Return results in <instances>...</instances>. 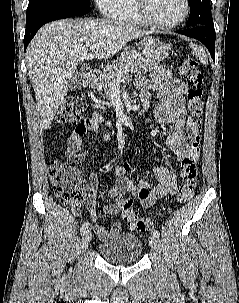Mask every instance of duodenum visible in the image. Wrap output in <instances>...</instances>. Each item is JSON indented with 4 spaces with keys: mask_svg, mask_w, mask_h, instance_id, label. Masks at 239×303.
<instances>
[{
    "mask_svg": "<svg viewBox=\"0 0 239 303\" xmlns=\"http://www.w3.org/2000/svg\"><path fill=\"white\" fill-rule=\"evenodd\" d=\"M98 73L95 70H89L85 74L84 84L87 88H94L97 84ZM126 120H130L129 117L124 116L121 118V121L124 122Z\"/></svg>",
    "mask_w": 239,
    "mask_h": 303,
    "instance_id": "410a0bca",
    "label": "duodenum"
}]
</instances>
